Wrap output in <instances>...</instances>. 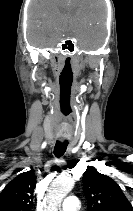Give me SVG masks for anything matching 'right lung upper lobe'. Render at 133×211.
<instances>
[{"mask_svg":"<svg viewBox=\"0 0 133 211\" xmlns=\"http://www.w3.org/2000/svg\"><path fill=\"white\" fill-rule=\"evenodd\" d=\"M36 177L24 172L10 181L0 194V211H31Z\"/></svg>","mask_w":133,"mask_h":211,"instance_id":"obj_1","label":"right lung upper lobe"}]
</instances>
